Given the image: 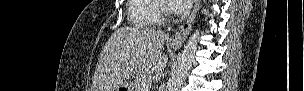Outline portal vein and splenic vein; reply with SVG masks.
<instances>
[{
    "label": "portal vein and splenic vein",
    "mask_w": 304,
    "mask_h": 91,
    "mask_svg": "<svg viewBox=\"0 0 304 91\" xmlns=\"http://www.w3.org/2000/svg\"><path fill=\"white\" fill-rule=\"evenodd\" d=\"M151 86H152V82L151 81L143 83L141 91H149L150 88H151Z\"/></svg>",
    "instance_id": "1"
}]
</instances>
